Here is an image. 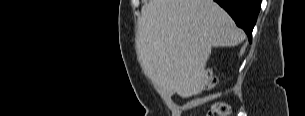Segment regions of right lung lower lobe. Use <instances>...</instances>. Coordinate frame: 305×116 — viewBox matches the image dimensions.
Segmentation results:
<instances>
[{
  "instance_id": "98d812e1",
  "label": "right lung lower lobe",
  "mask_w": 305,
  "mask_h": 116,
  "mask_svg": "<svg viewBox=\"0 0 305 116\" xmlns=\"http://www.w3.org/2000/svg\"><path fill=\"white\" fill-rule=\"evenodd\" d=\"M236 22L237 26L242 28L249 41H252V30L260 11L261 0H214Z\"/></svg>"
}]
</instances>
